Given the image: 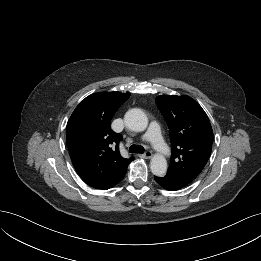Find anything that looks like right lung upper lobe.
I'll list each match as a JSON object with an SVG mask.
<instances>
[{
	"instance_id": "cb5924a9",
	"label": "right lung upper lobe",
	"mask_w": 261,
	"mask_h": 261,
	"mask_svg": "<svg viewBox=\"0 0 261 261\" xmlns=\"http://www.w3.org/2000/svg\"><path fill=\"white\" fill-rule=\"evenodd\" d=\"M130 93L102 92L86 97L73 111L66 127V142L73 166L91 187L109 189L120 182L134 157L119 152L121 135L110 122Z\"/></svg>"
}]
</instances>
